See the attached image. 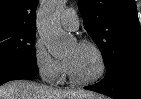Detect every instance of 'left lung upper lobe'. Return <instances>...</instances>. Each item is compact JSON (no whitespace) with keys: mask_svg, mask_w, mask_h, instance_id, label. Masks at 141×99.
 <instances>
[{"mask_svg":"<svg viewBox=\"0 0 141 99\" xmlns=\"http://www.w3.org/2000/svg\"><path fill=\"white\" fill-rule=\"evenodd\" d=\"M84 27L99 47L106 75L141 64V29L134 0H79Z\"/></svg>","mask_w":141,"mask_h":99,"instance_id":"obj_1","label":"left lung upper lobe"}]
</instances>
